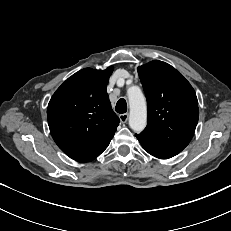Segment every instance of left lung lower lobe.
Segmentation results:
<instances>
[{
  "label": "left lung lower lobe",
  "instance_id": "0a47b994",
  "mask_svg": "<svg viewBox=\"0 0 231 231\" xmlns=\"http://www.w3.org/2000/svg\"><path fill=\"white\" fill-rule=\"evenodd\" d=\"M136 137L141 143L142 147L154 157H157L160 159H168L179 153L178 151L174 149L165 147L139 134L136 135Z\"/></svg>",
  "mask_w": 231,
  "mask_h": 231
}]
</instances>
